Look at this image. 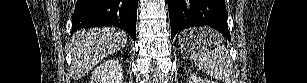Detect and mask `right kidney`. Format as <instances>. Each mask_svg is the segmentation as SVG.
Listing matches in <instances>:
<instances>
[{
	"instance_id": "obj_1",
	"label": "right kidney",
	"mask_w": 307,
	"mask_h": 83,
	"mask_svg": "<svg viewBox=\"0 0 307 83\" xmlns=\"http://www.w3.org/2000/svg\"><path fill=\"white\" fill-rule=\"evenodd\" d=\"M122 80V66L118 60L110 59L94 69L90 83H122Z\"/></svg>"
}]
</instances>
